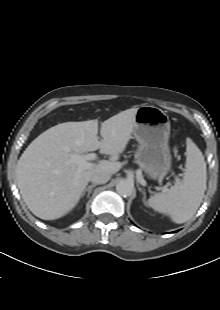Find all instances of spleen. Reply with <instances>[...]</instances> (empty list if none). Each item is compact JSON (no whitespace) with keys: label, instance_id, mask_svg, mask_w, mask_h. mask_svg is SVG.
I'll use <instances>...</instances> for the list:
<instances>
[{"label":"spleen","instance_id":"3e777b00","mask_svg":"<svg viewBox=\"0 0 220 310\" xmlns=\"http://www.w3.org/2000/svg\"><path fill=\"white\" fill-rule=\"evenodd\" d=\"M186 155L182 181L147 201L148 206L159 213L167 214L177 224L188 221L196 213L206 190L204 156L190 139L187 140Z\"/></svg>","mask_w":220,"mask_h":310}]
</instances>
